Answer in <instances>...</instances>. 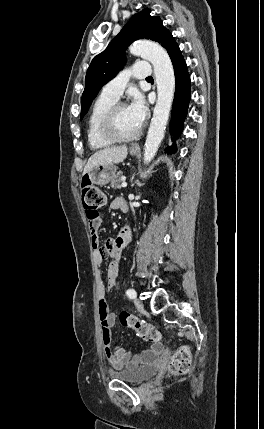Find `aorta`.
<instances>
[{"label": "aorta", "mask_w": 264, "mask_h": 429, "mask_svg": "<svg viewBox=\"0 0 264 429\" xmlns=\"http://www.w3.org/2000/svg\"><path fill=\"white\" fill-rule=\"evenodd\" d=\"M129 50L134 56L150 61L154 67L157 101L144 146V163L148 164L164 138L175 91L174 69L168 53L156 42L140 40Z\"/></svg>", "instance_id": "1"}]
</instances>
